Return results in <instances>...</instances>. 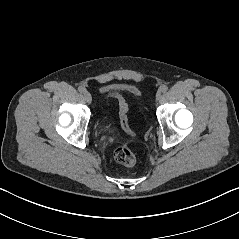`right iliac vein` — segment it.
I'll list each match as a JSON object with an SVG mask.
<instances>
[{
    "mask_svg": "<svg viewBox=\"0 0 239 239\" xmlns=\"http://www.w3.org/2000/svg\"><path fill=\"white\" fill-rule=\"evenodd\" d=\"M84 97H85V100H86L88 103H91V102H92V96H91V94H90L88 91H85V92H84Z\"/></svg>",
    "mask_w": 239,
    "mask_h": 239,
    "instance_id": "1",
    "label": "right iliac vein"
}]
</instances>
